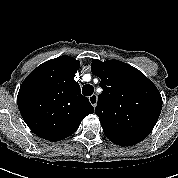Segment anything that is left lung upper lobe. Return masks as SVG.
Wrapping results in <instances>:
<instances>
[{
	"mask_svg": "<svg viewBox=\"0 0 178 178\" xmlns=\"http://www.w3.org/2000/svg\"><path fill=\"white\" fill-rule=\"evenodd\" d=\"M101 81L95 113L105 136L120 146L144 140L152 131L162 109L156 86L138 69L118 60L91 63Z\"/></svg>",
	"mask_w": 178,
	"mask_h": 178,
	"instance_id": "5c2ea615",
	"label": "left lung upper lobe"
}]
</instances>
